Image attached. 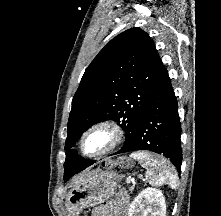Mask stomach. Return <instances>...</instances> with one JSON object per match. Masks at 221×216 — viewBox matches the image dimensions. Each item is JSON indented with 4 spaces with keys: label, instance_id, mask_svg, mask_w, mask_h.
Wrapping results in <instances>:
<instances>
[{
    "label": "stomach",
    "instance_id": "1",
    "mask_svg": "<svg viewBox=\"0 0 221 216\" xmlns=\"http://www.w3.org/2000/svg\"><path fill=\"white\" fill-rule=\"evenodd\" d=\"M120 176L110 171L89 172L81 183L68 193L66 207L69 216H78L84 208L99 205L110 199L118 186Z\"/></svg>",
    "mask_w": 221,
    "mask_h": 216
}]
</instances>
